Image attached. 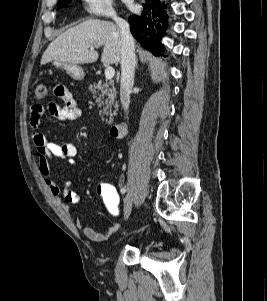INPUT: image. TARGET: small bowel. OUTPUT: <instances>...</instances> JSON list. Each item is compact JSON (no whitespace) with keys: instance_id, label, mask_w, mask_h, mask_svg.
Here are the masks:
<instances>
[{"instance_id":"small-bowel-1","label":"small bowel","mask_w":267,"mask_h":301,"mask_svg":"<svg viewBox=\"0 0 267 301\" xmlns=\"http://www.w3.org/2000/svg\"><path fill=\"white\" fill-rule=\"evenodd\" d=\"M53 95L58 98L62 104L53 102L48 104L46 110L52 117L60 121H72L81 115V111L71 91L66 86L56 85L53 89ZM44 112L45 107L37 103L33 104L29 109V124L32 128V140L38 153L37 162L39 172L44 183L54 196L60 197L62 194V207L66 212H70L71 206L79 202L80 195L73 189L71 180L64 184L62 190L59 188L50 175L49 160L51 158H61L70 164H74L77 149L72 143L58 144L52 142L40 132L39 127ZM74 224L83 232L87 239L93 242H104L108 240L118 229V225H113L103 232H98L91 226L83 223L78 217L74 220Z\"/></svg>"}]
</instances>
